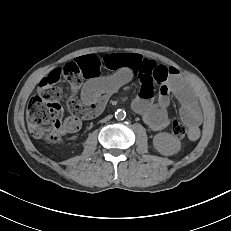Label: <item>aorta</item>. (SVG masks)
<instances>
[{"label": "aorta", "instance_id": "obj_1", "mask_svg": "<svg viewBox=\"0 0 231 231\" xmlns=\"http://www.w3.org/2000/svg\"><path fill=\"white\" fill-rule=\"evenodd\" d=\"M125 116H126V112L124 110L119 109L115 112V118L118 120L124 119Z\"/></svg>", "mask_w": 231, "mask_h": 231}]
</instances>
